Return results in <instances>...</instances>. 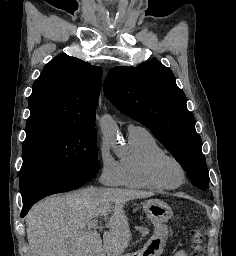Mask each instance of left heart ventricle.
<instances>
[{
  "label": "left heart ventricle",
  "instance_id": "b2bd125f",
  "mask_svg": "<svg viewBox=\"0 0 236 256\" xmlns=\"http://www.w3.org/2000/svg\"><path fill=\"white\" fill-rule=\"evenodd\" d=\"M164 174L175 183L179 182L182 177L179 168L172 162L166 163L164 167Z\"/></svg>",
  "mask_w": 236,
  "mask_h": 256
}]
</instances>
